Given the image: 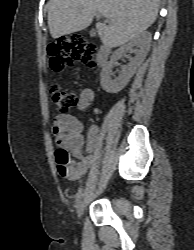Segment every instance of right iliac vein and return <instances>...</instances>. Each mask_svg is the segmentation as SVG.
Wrapping results in <instances>:
<instances>
[{
	"instance_id": "63e3f726",
	"label": "right iliac vein",
	"mask_w": 194,
	"mask_h": 250,
	"mask_svg": "<svg viewBox=\"0 0 194 250\" xmlns=\"http://www.w3.org/2000/svg\"><path fill=\"white\" fill-rule=\"evenodd\" d=\"M83 210H84V199L81 198L77 208V214L79 217H81V215L83 214Z\"/></svg>"
}]
</instances>
